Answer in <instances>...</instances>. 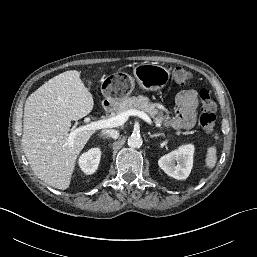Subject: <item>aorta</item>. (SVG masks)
Listing matches in <instances>:
<instances>
[{
	"label": "aorta",
	"mask_w": 257,
	"mask_h": 257,
	"mask_svg": "<svg viewBox=\"0 0 257 257\" xmlns=\"http://www.w3.org/2000/svg\"><path fill=\"white\" fill-rule=\"evenodd\" d=\"M143 140L140 135L133 134L128 138V146L131 148L141 147Z\"/></svg>",
	"instance_id": "762f6f07"
}]
</instances>
